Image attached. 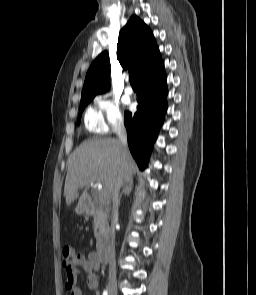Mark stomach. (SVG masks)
I'll return each instance as SVG.
<instances>
[{"mask_svg":"<svg viewBox=\"0 0 256 295\" xmlns=\"http://www.w3.org/2000/svg\"><path fill=\"white\" fill-rule=\"evenodd\" d=\"M75 212H76V214H78V215H82V214H84V212H85V208H84L81 204H79V205H77V207L75 208Z\"/></svg>","mask_w":256,"mask_h":295,"instance_id":"obj_1","label":"stomach"}]
</instances>
